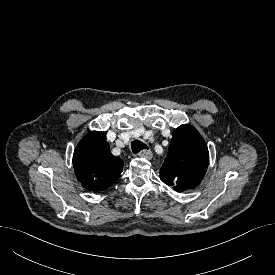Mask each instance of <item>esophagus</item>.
Wrapping results in <instances>:
<instances>
[{"mask_svg":"<svg viewBox=\"0 0 275 275\" xmlns=\"http://www.w3.org/2000/svg\"><path fill=\"white\" fill-rule=\"evenodd\" d=\"M138 156L141 157V158H145V159L150 160L152 158L153 154H152L151 150L144 149V150L139 152Z\"/></svg>","mask_w":275,"mask_h":275,"instance_id":"esophagus-1","label":"esophagus"}]
</instances>
